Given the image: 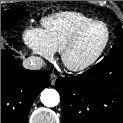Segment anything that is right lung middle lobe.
I'll list each match as a JSON object with an SVG mask.
<instances>
[{
  "label": "right lung middle lobe",
  "mask_w": 123,
  "mask_h": 123,
  "mask_svg": "<svg viewBox=\"0 0 123 123\" xmlns=\"http://www.w3.org/2000/svg\"><path fill=\"white\" fill-rule=\"evenodd\" d=\"M22 11L15 13L13 9L3 11L1 10V29L6 27V22L9 21L11 18L15 17L16 15L20 16Z\"/></svg>",
  "instance_id": "1"
}]
</instances>
